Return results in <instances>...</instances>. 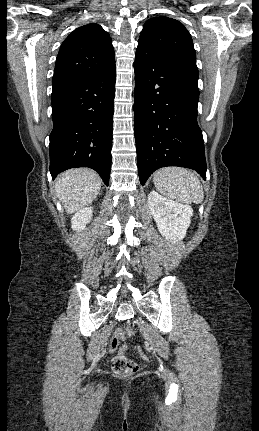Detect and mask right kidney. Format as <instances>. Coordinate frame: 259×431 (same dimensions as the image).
Masks as SVG:
<instances>
[{"label":"right kidney","instance_id":"1","mask_svg":"<svg viewBox=\"0 0 259 431\" xmlns=\"http://www.w3.org/2000/svg\"><path fill=\"white\" fill-rule=\"evenodd\" d=\"M92 213V207H85L77 211L71 219L72 229L75 231L83 230L86 224L90 222Z\"/></svg>","mask_w":259,"mask_h":431}]
</instances>
